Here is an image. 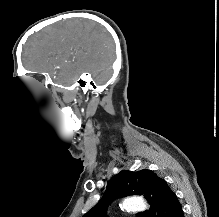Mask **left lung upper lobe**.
Instances as JSON below:
<instances>
[{
  "instance_id": "left-lung-upper-lobe-1",
  "label": "left lung upper lobe",
  "mask_w": 219,
  "mask_h": 217,
  "mask_svg": "<svg viewBox=\"0 0 219 217\" xmlns=\"http://www.w3.org/2000/svg\"><path fill=\"white\" fill-rule=\"evenodd\" d=\"M128 195H144L151 205L149 210L139 213L137 217H172L180 206L176 194L166 181L153 171L122 170L110 179L102 199L83 217H107L108 205L113 200Z\"/></svg>"
}]
</instances>
